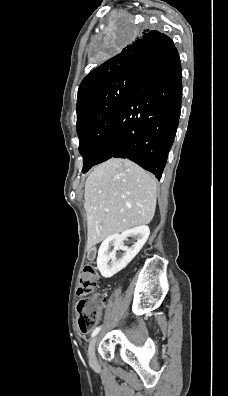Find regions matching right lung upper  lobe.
<instances>
[{
	"label": "right lung upper lobe",
	"instance_id": "1",
	"mask_svg": "<svg viewBox=\"0 0 228 396\" xmlns=\"http://www.w3.org/2000/svg\"><path fill=\"white\" fill-rule=\"evenodd\" d=\"M167 40H170L168 36L156 30L146 29L119 54L92 70L79 86L77 110L84 99L105 82L117 76L138 71L142 61Z\"/></svg>",
	"mask_w": 228,
	"mask_h": 396
}]
</instances>
